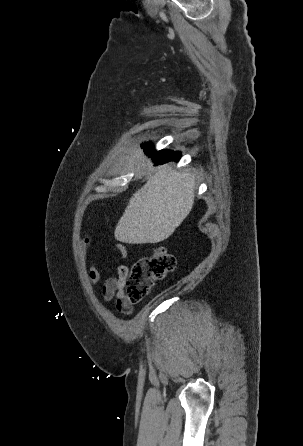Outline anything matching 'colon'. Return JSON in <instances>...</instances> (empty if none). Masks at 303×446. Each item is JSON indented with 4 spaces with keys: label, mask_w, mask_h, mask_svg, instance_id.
<instances>
[{
    "label": "colon",
    "mask_w": 303,
    "mask_h": 446,
    "mask_svg": "<svg viewBox=\"0 0 303 446\" xmlns=\"http://www.w3.org/2000/svg\"><path fill=\"white\" fill-rule=\"evenodd\" d=\"M175 258L164 247L156 248L149 256L137 260L130 268L125 284V300L141 302L156 281L162 280L175 268Z\"/></svg>",
    "instance_id": "5ec220e1"
}]
</instances>
